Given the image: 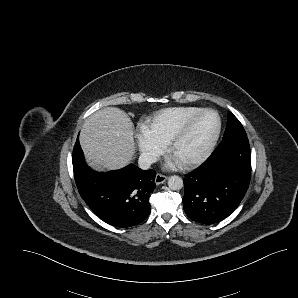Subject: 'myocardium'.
I'll list each match as a JSON object with an SVG mask.
<instances>
[{
    "label": "myocardium",
    "instance_id": "f54148a6",
    "mask_svg": "<svg viewBox=\"0 0 298 298\" xmlns=\"http://www.w3.org/2000/svg\"><path fill=\"white\" fill-rule=\"evenodd\" d=\"M211 114L215 117L216 121V129L213 136L204 146V148L193 158L183 163L185 166H193L196 164L201 163L204 161L208 155L210 154L212 148L214 147L216 141L219 138L220 130H221V121L217 114V112L210 110V109H202L201 111L193 114L192 116L188 117L180 124H178L173 131L166 137L167 146H168V154L171 155L173 148L177 144L178 140L184 135V133L192 126V124L201 116Z\"/></svg>",
    "mask_w": 298,
    "mask_h": 298
}]
</instances>
